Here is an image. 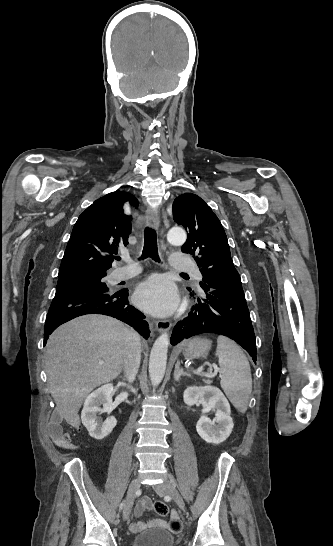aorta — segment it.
I'll list each match as a JSON object with an SVG mask.
<instances>
[{
    "instance_id": "obj_1",
    "label": "aorta",
    "mask_w": 333,
    "mask_h": 546,
    "mask_svg": "<svg viewBox=\"0 0 333 546\" xmlns=\"http://www.w3.org/2000/svg\"><path fill=\"white\" fill-rule=\"evenodd\" d=\"M167 241L172 245H182L186 241V233L180 227H173L167 233ZM169 336L163 333L153 344L149 360V377L154 386L162 381L167 363Z\"/></svg>"
}]
</instances>
